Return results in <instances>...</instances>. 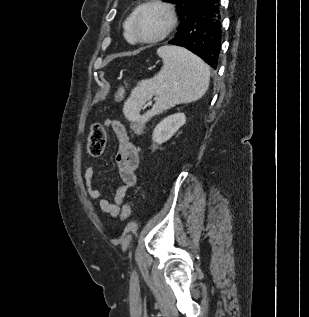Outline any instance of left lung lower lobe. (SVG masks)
I'll list each match as a JSON object with an SVG mask.
<instances>
[{"mask_svg": "<svg viewBox=\"0 0 309 317\" xmlns=\"http://www.w3.org/2000/svg\"><path fill=\"white\" fill-rule=\"evenodd\" d=\"M168 43L187 48L216 68L222 44L220 0H207L194 10Z\"/></svg>", "mask_w": 309, "mask_h": 317, "instance_id": "obj_1", "label": "left lung lower lobe"}]
</instances>
